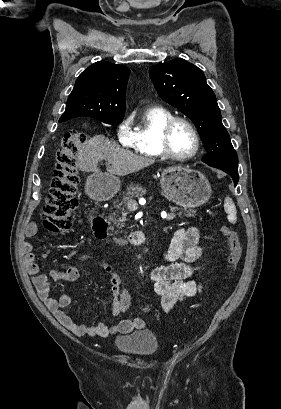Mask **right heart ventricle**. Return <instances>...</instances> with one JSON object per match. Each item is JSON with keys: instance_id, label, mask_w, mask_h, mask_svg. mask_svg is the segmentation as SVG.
<instances>
[{"instance_id": "obj_1", "label": "right heart ventricle", "mask_w": 281, "mask_h": 409, "mask_svg": "<svg viewBox=\"0 0 281 409\" xmlns=\"http://www.w3.org/2000/svg\"><path fill=\"white\" fill-rule=\"evenodd\" d=\"M174 114L165 108L148 109L132 132L129 145L132 152L146 158H160L159 136L163 126Z\"/></svg>"}]
</instances>
